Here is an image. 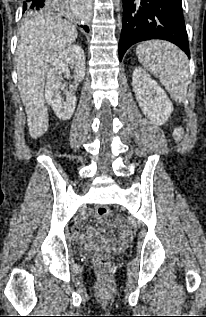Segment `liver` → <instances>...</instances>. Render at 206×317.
Listing matches in <instances>:
<instances>
[{"mask_svg":"<svg viewBox=\"0 0 206 317\" xmlns=\"http://www.w3.org/2000/svg\"><path fill=\"white\" fill-rule=\"evenodd\" d=\"M76 27L59 15L38 14L18 33L16 67L18 89L27 114L30 136L41 137L49 118L44 98L46 74L54 59L77 38Z\"/></svg>","mask_w":206,"mask_h":317,"instance_id":"liver-1","label":"liver"}]
</instances>
